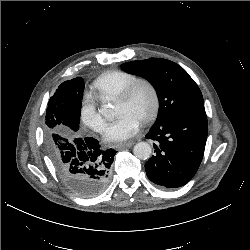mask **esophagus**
I'll return each instance as SVG.
<instances>
[{
	"label": "esophagus",
	"instance_id": "obj_1",
	"mask_svg": "<svg viewBox=\"0 0 250 250\" xmlns=\"http://www.w3.org/2000/svg\"><path fill=\"white\" fill-rule=\"evenodd\" d=\"M134 143L133 142H127V143H121V144H117L115 145V148L116 149H122V148H129L133 145Z\"/></svg>",
	"mask_w": 250,
	"mask_h": 250
}]
</instances>
